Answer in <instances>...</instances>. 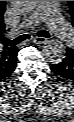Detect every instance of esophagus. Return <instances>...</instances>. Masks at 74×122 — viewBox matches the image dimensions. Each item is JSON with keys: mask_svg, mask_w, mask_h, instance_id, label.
I'll return each instance as SVG.
<instances>
[{"mask_svg": "<svg viewBox=\"0 0 74 122\" xmlns=\"http://www.w3.org/2000/svg\"><path fill=\"white\" fill-rule=\"evenodd\" d=\"M34 42H35L36 44H45V43L48 42V40H47V38H45V37H36V38L34 39Z\"/></svg>", "mask_w": 74, "mask_h": 122, "instance_id": "esophagus-1", "label": "esophagus"}]
</instances>
